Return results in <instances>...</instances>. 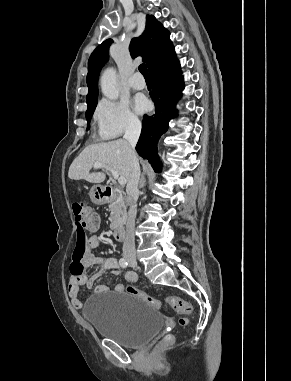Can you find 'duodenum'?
I'll list each match as a JSON object with an SVG mask.
<instances>
[{
	"instance_id": "duodenum-1",
	"label": "duodenum",
	"mask_w": 291,
	"mask_h": 381,
	"mask_svg": "<svg viewBox=\"0 0 291 381\" xmlns=\"http://www.w3.org/2000/svg\"><path fill=\"white\" fill-rule=\"evenodd\" d=\"M101 194L104 198V202L109 203L115 200L117 193L112 187H103ZM126 237V229L123 225H117L114 228V238L118 242H123Z\"/></svg>"
}]
</instances>
